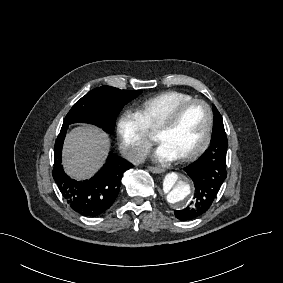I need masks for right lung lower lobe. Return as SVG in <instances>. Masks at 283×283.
Listing matches in <instances>:
<instances>
[{
  "label": "right lung lower lobe",
  "instance_id": "1",
  "mask_svg": "<svg viewBox=\"0 0 283 283\" xmlns=\"http://www.w3.org/2000/svg\"><path fill=\"white\" fill-rule=\"evenodd\" d=\"M68 126H62L55 142L52 175L64 199L74 211L87 217H95L103 214L114 203L123 173L133 165L110 153L101 170L91 179H71L61 164L62 145Z\"/></svg>",
  "mask_w": 283,
  "mask_h": 283
}]
</instances>
